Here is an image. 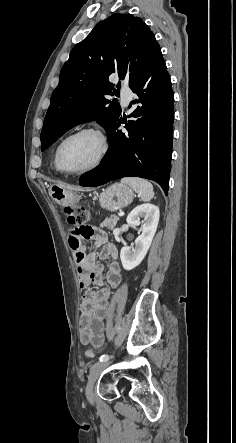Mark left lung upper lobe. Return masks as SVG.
<instances>
[{
	"label": "left lung upper lobe",
	"mask_w": 236,
	"mask_h": 443,
	"mask_svg": "<svg viewBox=\"0 0 236 443\" xmlns=\"http://www.w3.org/2000/svg\"><path fill=\"white\" fill-rule=\"evenodd\" d=\"M156 44L153 32L141 18L116 13L101 21L72 49L61 69L40 135L41 150L75 125L88 121L97 120L108 132L121 114L115 102L106 98L117 92L109 76L117 75L130 85Z\"/></svg>",
	"instance_id": "obj_1"
}]
</instances>
